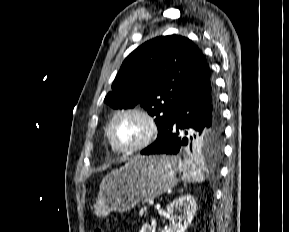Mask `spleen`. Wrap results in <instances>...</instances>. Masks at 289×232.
<instances>
[{"instance_id": "spleen-1", "label": "spleen", "mask_w": 289, "mask_h": 232, "mask_svg": "<svg viewBox=\"0 0 289 232\" xmlns=\"http://www.w3.org/2000/svg\"><path fill=\"white\" fill-rule=\"evenodd\" d=\"M178 169L183 173L182 180L184 182H203L205 177L201 171L200 165L187 159L183 163H179Z\"/></svg>"}]
</instances>
